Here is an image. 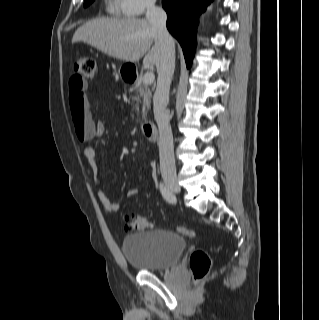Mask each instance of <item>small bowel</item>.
Listing matches in <instances>:
<instances>
[{
	"label": "small bowel",
	"instance_id": "small-bowel-1",
	"mask_svg": "<svg viewBox=\"0 0 319 320\" xmlns=\"http://www.w3.org/2000/svg\"><path fill=\"white\" fill-rule=\"evenodd\" d=\"M87 83L80 80L78 77L73 76L69 80V103L70 110L73 116L74 113L83 114L94 129L95 137L100 136L104 130L105 125L101 121L95 122L89 110V102L86 95ZM117 139V135L113 136V140ZM84 156L89 163V168L91 172V177L95 185L101 183V178L99 175V156L92 146H86L83 150ZM149 167L152 171L155 170L154 163H149ZM158 185V183L156 182ZM141 193L140 188H132L127 190L126 197L132 198ZM97 197L99 202L102 204L104 209L108 212H116L120 209V204L118 202L110 199L108 193L105 190L100 189L97 192Z\"/></svg>",
	"mask_w": 319,
	"mask_h": 320
}]
</instances>
